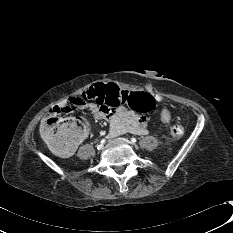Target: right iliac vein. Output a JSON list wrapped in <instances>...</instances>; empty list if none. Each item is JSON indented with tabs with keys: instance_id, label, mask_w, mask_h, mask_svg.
<instances>
[{
	"instance_id": "1",
	"label": "right iliac vein",
	"mask_w": 233,
	"mask_h": 233,
	"mask_svg": "<svg viewBox=\"0 0 233 233\" xmlns=\"http://www.w3.org/2000/svg\"><path fill=\"white\" fill-rule=\"evenodd\" d=\"M103 147H104L103 144H99V145L97 146V149H98V150H102Z\"/></svg>"
}]
</instances>
